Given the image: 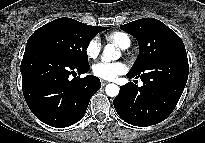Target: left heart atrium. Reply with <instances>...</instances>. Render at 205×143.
<instances>
[{
  "mask_svg": "<svg viewBox=\"0 0 205 143\" xmlns=\"http://www.w3.org/2000/svg\"><path fill=\"white\" fill-rule=\"evenodd\" d=\"M127 66L123 62L99 61L92 66V73L104 80H114L117 76L125 73Z\"/></svg>",
  "mask_w": 205,
  "mask_h": 143,
  "instance_id": "left-heart-atrium-1",
  "label": "left heart atrium"
}]
</instances>
